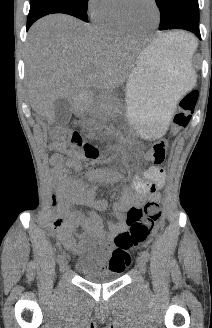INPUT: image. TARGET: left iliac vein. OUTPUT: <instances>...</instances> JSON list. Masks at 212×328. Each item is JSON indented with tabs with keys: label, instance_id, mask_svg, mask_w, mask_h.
Segmentation results:
<instances>
[{
	"label": "left iliac vein",
	"instance_id": "1",
	"mask_svg": "<svg viewBox=\"0 0 212 328\" xmlns=\"http://www.w3.org/2000/svg\"><path fill=\"white\" fill-rule=\"evenodd\" d=\"M137 268L141 273H145L146 270L145 260L142 256L138 257L137 259Z\"/></svg>",
	"mask_w": 212,
	"mask_h": 328
}]
</instances>
